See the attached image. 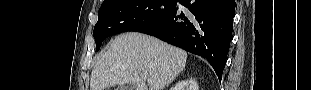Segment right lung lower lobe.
Here are the masks:
<instances>
[{
  "label": "right lung lower lobe",
  "mask_w": 311,
  "mask_h": 90,
  "mask_svg": "<svg viewBox=\"0 0 311 90\" xmlns=\"http://www.w3.org/2000/svg\"><path fill=\"white\" fill-rule=\"evenodd\" d=\"M177 6L159 21L138 32L208 60L221 81L233 29L235 0H179Z\"/></svg>",
  "instance_id": "obj_1"
}]
</instances>
